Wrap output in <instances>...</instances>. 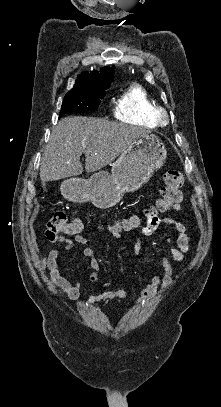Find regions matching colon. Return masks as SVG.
Listing matches in <instances>:
<instances>
[{"label": "colon", "mask_w": 221, "mask_h": 407, "mask_svg": "<svg viewBox=\"0 0 221 407\" xmlns=\"http://www.w3.org/2000/svg\"><path fill=\"white\" fill-rule=\"evenodd\" d=\"M183 183V175L178 170H168L164 174V185L160 189V194L155 204L145 211L152 216L158 217L160 213H164L176 206L182 200L181 188ZM139 223L140 219L133 216L129 219L122 220L117 225V229L130 230L137 227ZM81 230L82 223L79 219L74 218L69 221L65 212L57 211L48 220L44 235L46 239L53 240L62 234H78Z\"/></svg>", "instance_id": "5ec220e1"}]
</instances>
